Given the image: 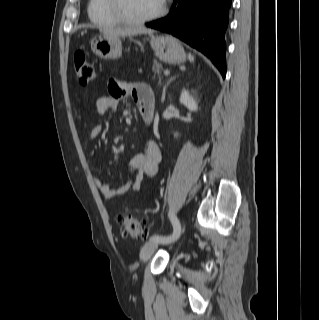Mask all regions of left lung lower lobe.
I'll return each mask as SVG.
<instances>
[{"instance_id":"left-lung-lower-lobe-1","label":"left lung lower lobe","mask_w":319,"mask_h":320,"mask_svg":"<svg viewBox=\"0 0 319 320\" xmlns=\"http://www.w3.org/2000/svg\"><path fill=\"white\" fill-rule=\"evenodd\" d=\"M231 0H174L167 17L146 23L205 54L226 75L225 31Z\"/></svg>"}]
</instances>
